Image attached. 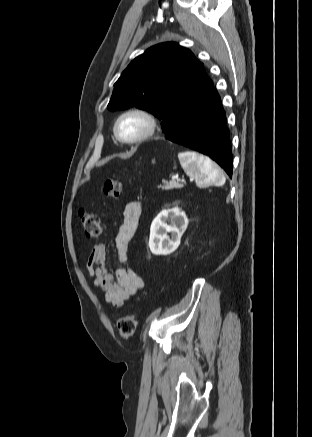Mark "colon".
I'll return each instance as SVG.
<instances>
[{"label":"colon","instance_id":"obj_1","mask_svg":"<svg viewBox=\"0 0 312 437\" xmlns=\"http://www.w3.org/2000/svg\"><path fill=\"white\" fill-rule=\"evenodd\" d=\"M122 191V182L120 179H108L103 186L105 197L116 200ZM82 229L86 236L91 238L100 237L103 234L104 225L99 217L92 213L81 210L79 212ZM137 327V319L134 314H128L118 321V331L122 338H131Z\"/></svg>","mask_w":312,"mask_h":437}]
</instances>
